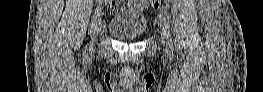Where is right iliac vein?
<instances>
[{
    "instance_id": "obj_1",
    "label": "right iliac vein",
    "mask_w": 263,
    "mask_h": 92,
    "mask_svg": "<svg viewBox=\"0 0 263 92\" xmlns=\"http://www.w3.org/2000/svg\"><path fill=\"white\" fill-rule=\"evenodd\" d=\"M102 15H103V8L100 5V7L96 9L97 26H96L95 32L93 34V37H92V39L90 41V46L94 45L98 33L101 32L103 30V28H104V25L101 23Z\"/></svg>"
}]
</instances>
